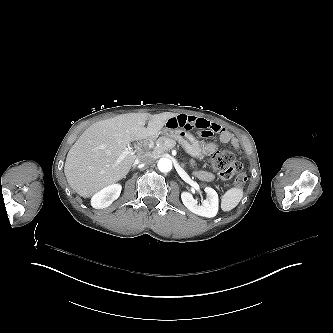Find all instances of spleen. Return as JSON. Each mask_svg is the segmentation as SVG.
Wrapping results in <instances>:
<instances>
[{
    "instance_id": "1",
    "label": "spleen",
    "mask_w": 333,
    "mask_h": 333,
    "mask_svg": "<svg viewBox=\"0 0 333 333\" xmlns=\"http://www.w3.org/2000/svg\"><path fill=\"white\" fill-rule=\"evenodd\" d=\"M244 196V188L242 186H233L228 188L220 200V208L223 212H229L233 210L242 200Z\"/></svg>"
}]
</instances>
